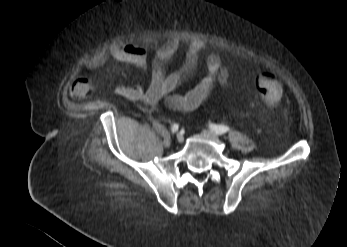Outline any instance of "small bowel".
Listing matches in <instances>:
<instances>
[{
  "label": "small bowel",
  "mask_w": 347,
  "mask_h": 247,
  "mask_svg": "<svg viewBox=\"0 0 347 247\" xmlns=\"http://www.w3.org/2000/svg\"><path fill=\"white\" fill-rule=\"evenodd\" d=\"M179 48L180 42L174 39L162 44L155 51L151 60L149 85L147 87L141 83L117 85L114 88L115 94L130 101H142L152 107L164 104L175 112H190L199 108L208 99L217 84H229V68L217 53H210L206 58V74L187 92L174 93L183 82L192 76L203 45L199 41L190 42L187 45L182 64L174 71L167 72V65L175 57ZM109 55L121 64L133 65L140 70H145L148 65L145 48L134 44L120 45L110 50L109 53L96 54L87 59L84 65L90 70L100 68L107 62ZM265 72L273 73L272 71ZM89 86V80H81L74 85L73 91L79 96H85L89 92Z\"/></svg>",
  "instance_id": "1"
}]
</instances>
